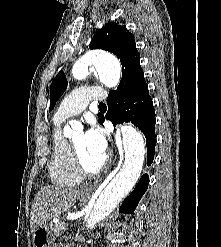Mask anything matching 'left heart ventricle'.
Masks as SVG:
<instances>
[{
    "label": "left heart ventricle",
    "mask_w": 221,
    "mask_h": 247,
    "mask_svg": "<svg viewBox=\"0 0 221 247\" xmlns=\"http://www.w3.org/2000/svg\"><path fill=\"white\" fill-rule=\"evenodd\" d=\"M78 153L80 154L84 165L89 170H94L99 166L103 157L93 153L86 145L85 135L83 132H77L72 138Z\"/></svg>",
    "instance_id": "obj_1"
}]
</instances>
